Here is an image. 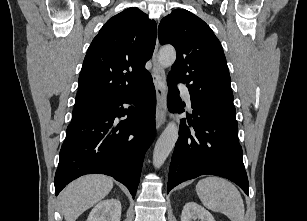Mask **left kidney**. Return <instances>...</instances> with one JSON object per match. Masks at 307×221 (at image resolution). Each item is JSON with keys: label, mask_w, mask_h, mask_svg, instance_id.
<instances>
[{"label": "left kidney", "mask_w": 307, "mask_h": 221, "mask_svg": "<svg viewBox=\"0 0 307 221\" xmlns=\"http://www.w3.org/2000/svg\"><path fill=\"white\" fill-rule=\"evenodd\" d=\"M215 221L212 214L195 202H188L185 204L182 214L181 221Z\"/></svg>", "instance_id": "5707ae66"}]
</instances>
